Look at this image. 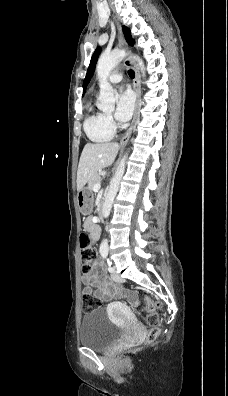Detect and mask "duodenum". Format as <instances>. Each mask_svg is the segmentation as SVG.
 <instances>
[{"mask_svg":"<svg viewBox=\"0 0 228 396\" xmlns=\"http://www.w3.org/2000/svg\"><path fill=\"white\" fill-rule=\"evenodd\" d=\"M99 218L102 220L104 218V205L99 208Z\"/></svg>","mask_w":228,"mask_h":396,"instance_id":"410a0bca","label":"duodenum"}]
</instances>
